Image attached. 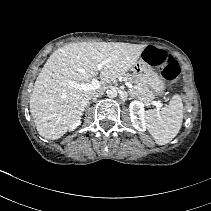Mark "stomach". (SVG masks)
<instances>
[{
    "label": "stomach",
    "instance_id": "0dacf381",
    "mask_svg": "<svg viewBox=\"0 0 211 211\" xmlns=\"http://www.w3.org/2000/svg\"><path fill=\"white\" fill-rule=\"evenodd\" d=\"M131 70L139 81L150 86L157 95H161L164 92V81L145 60L141 58Z\"/></svg>",
    "mask_w": 211,
    "mask_h": 211
}]
</instances>
